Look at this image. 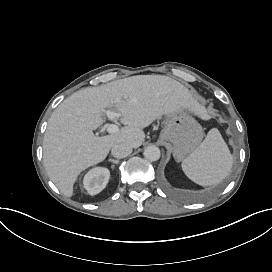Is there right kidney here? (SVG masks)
<instances>
[{
	"instance_id": "ca27d5eb",
	"label": "right kidney",
	"mask_w": 272,
	"mask_h": 272,
	"mask_svg": "<svg viewBox=\"0 0 272 272\" xmlns=\"http://www.w3.org/2000/svg\"><path fill=\"white\" fill-rule=\"evenodd\" d=\"M109 178L110 174L107 169L95 168L86 175L84 186L91 195H95L106 187Z\"/></svg>"
}]
</instances>
